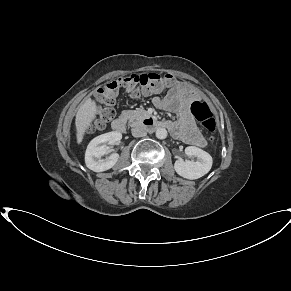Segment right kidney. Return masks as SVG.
<instances>
[{"label": "right kidney", "mask_w": 291, "mask_h": 291, "mask_svg": "<svg viewBox=\"0 0 291 291\" xmlns=\"http://www.w3.org/2000/svg\"><path fill=\"white\" fill-rule=\"evenodd\" d=\"M122 138V134L117 131L109 132L95 137L88 145L85 153L86 166L94 172H103L112 168L119 159V154L113 153L106 158H102L109 153L108 142L115 145Z\"/></svg>", "instance_id": "obj_1"}]
</instances>
